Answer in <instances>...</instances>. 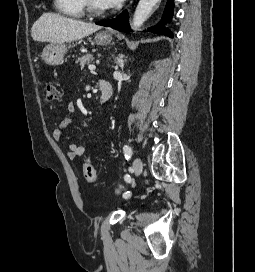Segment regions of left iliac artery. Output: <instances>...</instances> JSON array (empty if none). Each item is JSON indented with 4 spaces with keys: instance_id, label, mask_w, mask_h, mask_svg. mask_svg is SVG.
<instances>
[{
    "instance_id": "left-iliac-artery-1",
    "label": "left iliac artery",
    "mask_w": 255,
    "mask_h": 272,
    "mask_svg": "<svg viewBox=\"0 0 255 272\" xmlns=\"http://www.w3.org/2000/svg\"><path fill=\"white\" fill-rule=\"evenodd\" d=\"M123 151H124L125 158H126L127 160H129V159L132 157V153H133L131 147L128 146V145H124ZM125 181H126L127 183H130L131 178H130V175H129V174H126V175H125ZM130 195H131L130 192H126V193L123 194V197H124V198H128V197H130Z\"/></svg>"
}]
</instances>
